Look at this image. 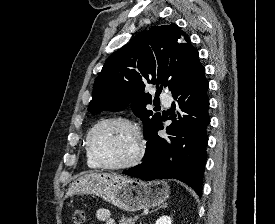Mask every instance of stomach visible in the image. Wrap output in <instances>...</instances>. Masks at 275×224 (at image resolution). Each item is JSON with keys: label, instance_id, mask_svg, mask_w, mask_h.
Returning <instances> with one entry per match:
<instances>
[{"label": "stomach", "instance_id": "obj_1", "mask_svg": "<svg viewBox=\"0 0 275 224\" xmlns=\"http://www.w3.org/2000/svg\"><path fill=\"white\" fill-rule=\"evenodd\" d=\"M69 192L74 195L92 194L128 212L154 208L169 196L165 181L145 182L120 175L92 173L76 178Z\"/></svg>", "mask_w": 275, "mask_h": 224}]
</instances>
